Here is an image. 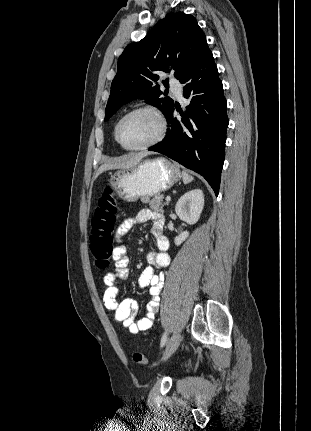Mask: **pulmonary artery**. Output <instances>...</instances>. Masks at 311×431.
Returning a JSON list of instances; mask_svg holds the SVG:
<instances>
[{"label": "pulmonary artery", "instance_id": "e3ab8cb5", "mask_svg": "<svg viewBox=\"0 0 311 431\" xmlns=\"http://www.w3.org/2000/svg\"><path fill=\"white\" fill-rule=\"evenodd\" d=\"M170 87L172 92L178 97H182L183 88L179 81H171Z\"/></svg>", "mask_w": 311, "mask_h": 431}]
</instances>
